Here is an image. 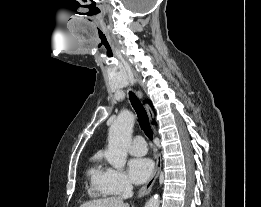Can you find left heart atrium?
Here are the masks:
<instances>
[{
	"label": "left heart atrium",
	"instance_id": "39dd6f15",
	"mask_svg": "<svg viewBox=\"0 0 261 207\" xmlns=\"http://www.w3.org/2000/svg\"><path fill=\"white\" fill-rule=\"evenodd\" d=\"M153 172V162L148 158H132L128 162V174L135 184H142Z\"/></svg>",
	"mask_w": 261,
	"mask_h": 207
}]
</instances>
